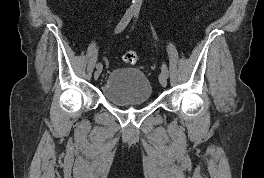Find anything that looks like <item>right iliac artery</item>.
<instances>
[{"mask_svg": "<svg viewBox=\"0 0 264 178\" xmlns=\"http://www.w3.org/2000/svg\"><path fill=\"white\" fill-rule=\"evenodd\" d=\"M134 12L132 10H128L125 15L123 16V18L121 19V21L119 22V24L117 25V27L115 28V33L118 34L121 31H123L125 29V27L128 25V23L130 22L131 18L133 17ZM97 69H102L103 65L102 63H97L96 65Z\"/></svg>", "mask_w": 264, "mask_h": 178, "instance_id": "82829eb1", "label": "right iliac artery"}]
</instances>
